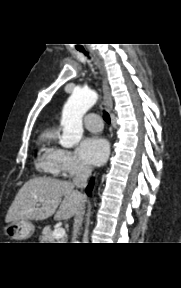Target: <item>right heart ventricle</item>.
<instances>
[{
    "label": "right heart ventricle",
    "mask_w": 181,
    "mask_h": 288,
    "mask_svg": "<svg viewBox=\"0 0 181 288\" xmlns=\"http://www.w3.org/2000/svg\"><path fill=\"white\" fill-rule=\"evenodd\" d=\"M56 133L54 129L48 128L39 137L40 153L38 157V167L46 172L54 173L57 169L56 151L54 146Z\"/></svg>",
    "instance_id": "e07e8e85"
}]
</instances>
